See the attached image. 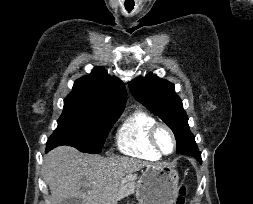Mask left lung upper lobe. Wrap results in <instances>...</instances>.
<instances>
[{
	"mask_svg": "<svg viewBox=\"0 0 253 204\" xmlns=\"http://www.w3.org/2000/svg\"><path fill=\"white\" fill-rule=\"evenodd\" d=\"M130 90L137 101L171 128L177 142V153L186 154L197 146L189 129L182 101L175 93L174 84L148 74L131 81Z\"/></svg>",
	"mask_w": 253,
	"mask_h": 204,
	"instance_id": "left-lung-upper-lobe-1",
	"label": "left lung upper lobe"
}]
</instances>
